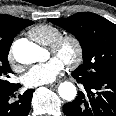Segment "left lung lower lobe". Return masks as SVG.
Instances as JSON below:
<instances>
[{
  "label": "left lung lower lobe",
  "mask_w": 116,
  "mask_h": 116,
  "mask_svg": "<svg viewBox=\"0 0 116 116\" xmlns=\"http://www.w3.org/2000/svg\"><path fill=\"white\" fill-rule=\"evenodd\" d=\"M72 76L85 90L63 106L66 116H116V73L87 79L74 71Z\"/></svg>",
  "instance_id": "0a47b994"
}]
</instances>
